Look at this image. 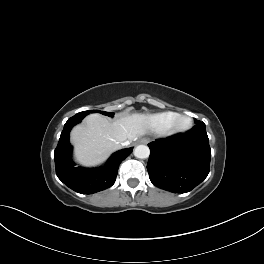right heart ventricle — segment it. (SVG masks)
<instances>
[{"mask_svg":"<svg viewBox=\"0 0 264 264\" xmlns=\"http://www.w3.org/2000/svg\"><path fill=\"white\" fill-rule=\"evenodd\" d=\"M176 115L177 113L171 111L160 112L144 117V121L151 130L163 132L169 128Z\"/></svg>","mask_w":264,"mask_h":264,"instance_id":"e07e8e85","label":"right heart ventricle"}]
</instances>
